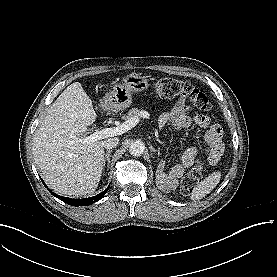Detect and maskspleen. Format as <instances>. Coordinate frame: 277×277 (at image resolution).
Segmentation results:
<instances>
[{
    "mask_svg": "<svg viewBox=\"0 0 277 277\" xmlns=\"http://www.w3.org/2000/svg\"><path fill=\"white\" fill-rule=\"evenodd\" d=\"M220 179L221 173L219 171L210 174L193 189L191 199L200 200L205 197L217 186Z\"/></svg>",
    "mask_w": 277,
    "mask_h": 277,
    "instance_id": "3e777b00",
    "label": "spleen"
}]
</instances>
